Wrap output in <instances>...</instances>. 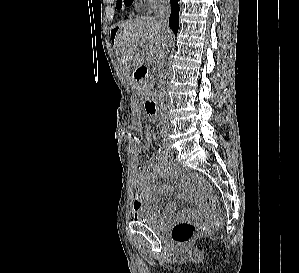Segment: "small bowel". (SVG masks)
<instances>
[{
	"instance_id": "obj_1",
	"label": "small bowel",
	"mask_w": 299,
	"mask_h": 273,
	"mask_svg": "<svg viewBox=\"0 0 299 273\" xmlns=\"http://www.w3.org/2000/svg\"><path fill=\"white\" fill-rule=\"evenodd\" d=\"M146 135L151 136V128L146 127ZM156 177L164 179H177L179 187L182 190V198L189 200L193 196L188 189V179L180 170L165 156L155 155L150 163L140 168V172L136 177V196L132 205V211L135 219L143 212H148L161 218L171 219L175 211V204L172 201L166 203L163 209L154 205L157 195L172 190L170 186L155 187L153 180ZM196 215L192 209H184L179 218H190Z\"/></svg>"
}]
</instances>
